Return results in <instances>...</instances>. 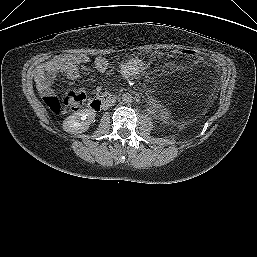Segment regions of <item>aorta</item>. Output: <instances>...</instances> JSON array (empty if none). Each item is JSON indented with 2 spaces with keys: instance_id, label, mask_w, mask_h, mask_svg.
<instances>
[{
  "instance_id": "obj_1",
  "label": "aorta",
  "mask_w": 257,
  "mask_h": 257,
  "mask_svg": "<svg viewBox=\"0 0 257 257\" xmlns=\"http://www.w3.org/2000/svg\"><path fill=\"white\" fill-rule=\"evenodd\" d=\"M122 101L124 103H131L132 102V95L129 93L123 94L122 95Z\"/></svg>"
}]
</instances>
